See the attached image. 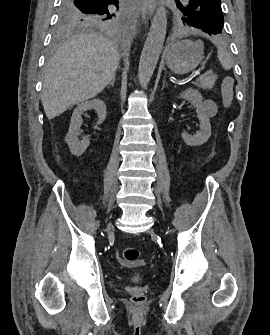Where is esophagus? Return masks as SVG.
Instances as JSON below:
<instances>
[{
	"label": "esophagus",
	"instance_id": "1",
	"mask_svg": "<svg viewBox=\"0 0 270 335\" xmlns=\"http://www.w3.org/2000/svg\"><path fill=\"white\" fill-rule=\"evenodd\" d=\"M141 8V18L145 25L148 24L149 19L154 13L156 7V0H139Z\"/></svg>",
	"mask_w": 270,
	"mask_h": 335
}]
</instances>
